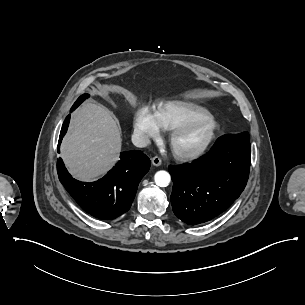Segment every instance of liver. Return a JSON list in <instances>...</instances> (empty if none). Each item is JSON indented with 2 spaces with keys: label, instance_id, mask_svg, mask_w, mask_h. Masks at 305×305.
<instances>
[{
  "label": "liver",
  "instance_id": "liver-1",
  "mask_svg": "<svg viewBox=\"0 0 305 305\" xmlns=\"http://www.w3.org/2000/svg\"><path fill=\"white\" fill-rule=\"evenodd\" d=\"M126 97L135 105L134 96L127 94ZM121 143V129L110 112L101 104L87 102L72 115L61 144V158L74 178L90 181L115 165Z\"/></svg>",
  "mask_w": 305,
  "mask_h": 305
}]
</instances>
